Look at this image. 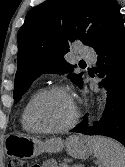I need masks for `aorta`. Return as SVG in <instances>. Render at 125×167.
I'll return each instance as SVG.
<instances>
[{
	"instance_id": "1",
	"label": "aorta",
	"mask_w": 125,
	"mask_h": 167,
	"mask_svg": "<svg viewBox=\"0 0 125 167\" xmlns=\"http://www.w3.org/2000/svg\"><path fill=\"white\" fill-rule=\"evenodd\" d=\"M106 91L103 92L102 98L98 99V117L97 119L100 118V116L102 115V112L104 110L105 107V103H106Z\"/></svg>"
}]
</instances>
